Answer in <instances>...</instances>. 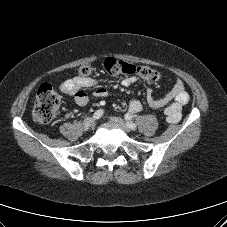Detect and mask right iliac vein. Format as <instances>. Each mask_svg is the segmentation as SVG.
Masks as SVG:
<instances>
[{
  "instance_id": "1",
  "label": "right iliac vein",
  "mask_w": 227,
  "mask_h": 227,
  "mask_svg": "<svg viewBox=\"0 0 227 227\" xmlns=\"http://www.w3.org/2000/svg\"><path fill=\"white\" fill-rule=\"evenodd\" d=\"M94 126H95V122H94V119L92 118H87L83 122L84 131H88L89 129L94 128Z\"/></svg>"
}]
</instances>
